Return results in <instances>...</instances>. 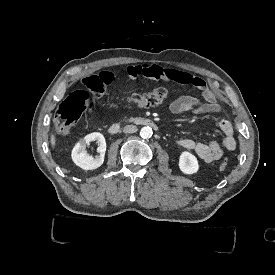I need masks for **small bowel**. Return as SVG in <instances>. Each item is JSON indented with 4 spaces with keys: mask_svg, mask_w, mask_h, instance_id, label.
<instances>
[{
    "mask_svg": "<svg viewBox=\"0 0 275 275\" xmlns=\"http://www.w3.org/2000/svg\"><path fill=\"white\" fill-rule=\"evenodd\" d=\"M129 74L133 78H148L153 80H164L184 85H193L202 96V100L193 96L183 95L175 98L169 105L173 114H181L191 111L196 114H211L222 111L213 89L206 84L205 80L177 69L162 68L155 65L132 66ZM100 81L103 85L110 87L114 85L116 78L110 70H103L100 74ZM219 126L224 136L221 142L208 140L199 142L190 138H179L177 144L185 149L192 150L202 161L210 163L220 159L225 150L236 148L235 132L232 122L221 119Z\"/></svg>",
    "mask_w": 275,
    "mask_h": 275,
    "instance_id": "1",
    "label": "small bowel"
}]
</instances>
